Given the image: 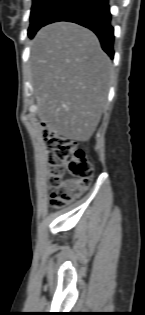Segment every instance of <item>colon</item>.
I'll list each match as a JSON object with an SVG mask.
<instances>
[{"mask_svg":"<svg viewBox=\"0 0 145 315\" xmlns=\"http://www.w3.org/2000/svg\"><path fill=\"white\" fill-rule=\"evenodd\" d=\"M43 136L49 146V188L55 208L65 207L91 182L93 165L71 138L44 128ZM69 174L72 178H65Z\"/></svg>","mask_w":145,"mask_h":315,"instance_id":"5ec220e1","label":"colon"}]
</instances>
